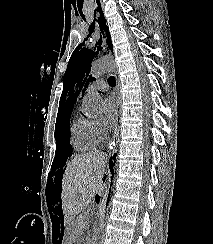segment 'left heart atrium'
<instances>
[{"instance_id": "left-heart-atrium-1", "label": "left heart atrium", "mask_w": 213, "mask_h": 244, "mask_svg": "<svg viewBox=\"0 0 213 244\" xmlns=\"http://www.w3.org/2000/svg\"><path fill=\"white\" fill-rule=\"evenodd\" d=\"M104 107V125L106 128H112L116 123L118 102L112 96L107 97L103 102Z\"/></svg>"}]
</instances>
